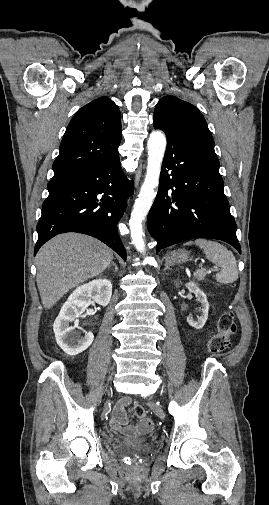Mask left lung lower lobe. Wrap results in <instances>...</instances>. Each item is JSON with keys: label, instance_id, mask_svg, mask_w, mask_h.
Returning a JSON list of instances; mask_svg holds the SVG:
<instances>
[{"label": "left lung lower lobe", "instance_id": "obj_1", "mask_svg": "<svg viewBox=\"0 0 269 505\" xmlns=\"http://www.w3.org/2000/svg\"><path fill=\"white\" fill-rule=\"evenodd\" d=\"M154 128L163 130L168 141L159 190L147 217L157 253L192 238L219 239L241 253L214 143L156 122Z\"/></svg>", "mask_w": 269, "mask_h": 505}]
</instances>
